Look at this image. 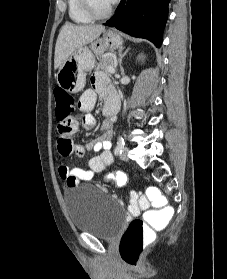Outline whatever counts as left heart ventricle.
Masks as SVG:
<instances>
[{"label":"left heart ventricle","instance_id":"b2bd125f","mask_svg":"<svg viewBox=\"0 0 227 279\" xmlns=\"http://www.w3.org/2000/svg\"><path fill=\"white\" fill-rule=\"evenodd\" d=\"M90 2L92 7L98 13H104L111 5L109 0H90Z\"/></svg>","mask_w":227,"mask_h":279}]
</instances>
